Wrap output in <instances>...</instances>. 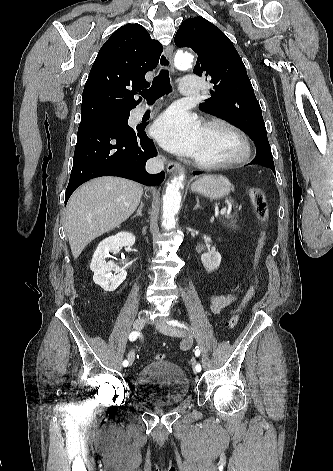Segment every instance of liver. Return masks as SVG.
<instances>
[{"mask_svg":"<svg viewBox=\"0 0 333 471\" xmlns=\"http://www.w3.org/2000/svg\"><path fill=\"white\" fill-rule=\"evenodd\" d=\"M143 188L120 177H99L78 188L70 197L65 231L72 255L79 257L95 238L126 221L136 210Z\"/></svg>","mask_w":333,"mask_h":471,"instance_id":"1","label":"liver"}]
</instances>
